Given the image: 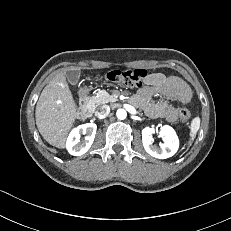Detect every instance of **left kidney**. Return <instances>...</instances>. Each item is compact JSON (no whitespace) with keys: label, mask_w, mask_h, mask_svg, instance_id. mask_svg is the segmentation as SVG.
<instances>
[{"label":"left kidney","mask_w":231,"mask_h":231,"mask_svg":"<svg viewBox=\"0 0 231 231\" xmlns=\"http://www.w3.org/2000/svg\"><path fill=\"white\" fill-rule=\"evenodd\" d=\"M153 128H144L142 131V143L144 149L151 156L158 159H166L173 156L179 148V139L174 129L168 125H165L160 130V135L164 139V143L158 148L153 145L152 138Z\"/></svg>","instance_id":"obj_1"}]
</instances>
